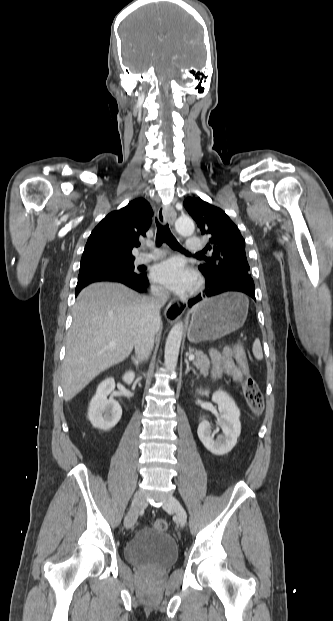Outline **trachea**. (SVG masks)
I'll list each match as a JSON object with an SVG mask.
<instances>
[{
    "label": "trachea",
    "instance_id": "obj_1",
    "mask_svg": "<svg viewBox=\"0 0 333 621\" xmlns=\"http://www.w3.org/2000/svg\"><path fill=\"white\" fill-rule=\"evenodd\" d=\"M157 226V234H156V245L160 246L163 242L168 244L172 249L178 250L184 253H188L176 240V238L171 233L168 224L162 225L159 223L157 218L155 219ZM201 254V253H197Z\"/></svg>",
    "mask_w": 333,
    "mask_h": 621
}]
</instances>
